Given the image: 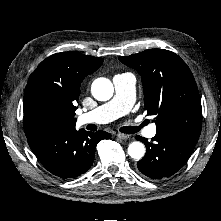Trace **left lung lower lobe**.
Segmentation results:
<instances>
[{
    "instance_id": "1",
    "label": "left lung lower lobe",
    "mask_w": 221,
    "mask_h": 221,
    "mask_svg": "<svg viewBox=\"0 0 221 221\" xmlns=\"http://www.w3.org/2000/svg\"><path fill=\"white\" fill-rule=\"evenodd\" d=\"M199 136L180 131H162L152 142L141 136L137 140L146 145V154L137 163L138 169L152 179H162L175 174L192 154Z\"/></svg>"
}]
</instances>
